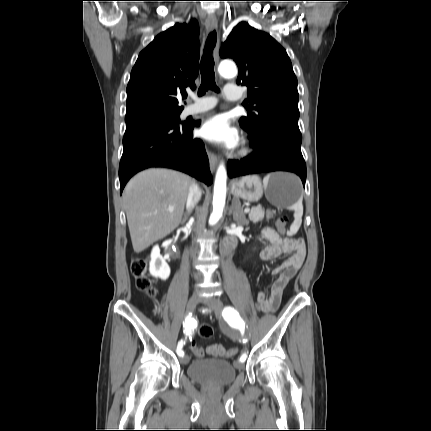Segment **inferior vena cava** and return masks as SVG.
Instances as JSON below:
<instances>
[{
	"label": "inferior vena cava",
	"mask_w": 431,
	"mask_h": 431,
	"mask_svg": "<svg viewBox=\"0 0 431 431\" xmlns=\"http://www.w3.org/2000/svg\"><path fill=\"white\" fill-rule=\"evenodd\" d=\"M202 191L199 188V186L195 183H191L188 190V197H187V203L186 208L188 211H190L194 206L198 203V201L201 198ZM192 254H194V250H191Z\"/></svg>",
	"instance_id": "obj_1"
}]
</instances>
